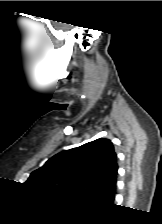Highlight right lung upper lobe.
<instances>
[{"label": "right lung upper lobe", "instance_id": "obj_1", "mask_svg": "<svg viewBox=\"0 0 162 224\" xmlns=\"http://www.w3.org/2000/svg\"><path fill=\"white\" fill-rule=\"evenodd\" d=\"M117 156L113 144L97 139L62 151L31 173L27 185L79 196L89 203L111 202L116 193Z\"/></svg>", "mask_w": 162, "mask_h": 224}]
</instances>
